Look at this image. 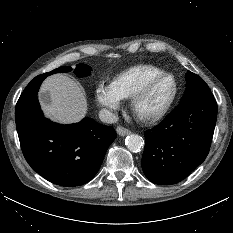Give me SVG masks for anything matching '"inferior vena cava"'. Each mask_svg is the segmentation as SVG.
Returning <instances> with one entry per match:
<instances>
[{"instance_id":"inferior-vena-cava-1","label":"inferior vena cava","mask_w":233,"mask_h":233,"mask_svg":"<svg viewBox=\"0 0 233 233\" xmlns=\"http://www.w3.org/2000/svg\"><path fill=\"white\" fill-rule=\"evenodd\" d=\"M99 118L104 123H116L118 121V117L113 114L111 111L103 108L99 112Z\"/></svg>"}]
</instances>
